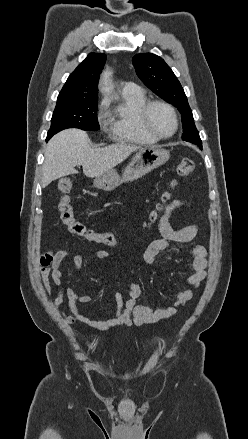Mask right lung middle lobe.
<instances>
[{
    "instance_id": "dd1d6c3e",
    "label": "right lung middle lobe",
    "mask_w": 248,
    "mask_h": 439,
    "mask_svg": "<svg viewBox=\"0 0 248 439\" xmlns=\"http://www.w3.org/2000/svg\"><path fill=\"white\" fill-rule=\"evenodd\" d=\"M97 99L58 98L46 140L67 128H79L86 131L99 130Z\"/></svg>"
}]
</instances>
